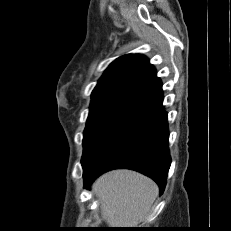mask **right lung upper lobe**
Returning a JSON list of instances; mask_svg holds the SVG:
<instances>
[{
	"instance_id": "obj_1",
	"label": "right lung upper lobe",
	"mask_w": 231,
	"mask_h": 231,
	"mask_svg": "<svg viewBox=\"0 0 231 231\" xmlns=\"http://www.w3.org/2000/svg\"><path fill=\"white\" fill-rule=\"evenodd\" d=\"M114 96L136 98L150 106L163 100L162 82L145 56H121L105 70L92 92V102Z\"/></svg>"
}]
</instances>
